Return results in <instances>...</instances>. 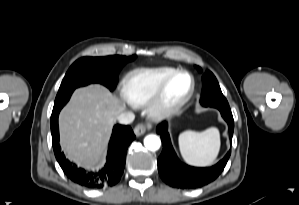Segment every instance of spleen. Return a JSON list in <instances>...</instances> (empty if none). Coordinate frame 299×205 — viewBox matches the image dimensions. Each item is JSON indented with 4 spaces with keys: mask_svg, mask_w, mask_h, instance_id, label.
Wrapping results in <instances>:
<instances>
[{
    "mask_svg": "<svg viewBox=\"0 0 299 205\" xmlns=\"http://www.w3.org/2000/svg\"><path fill=\"white\" fill-rule=\"evenodd\" d=\"M182 158L193 166H209L220 150V133L215 127L202 132L185 131L178 137Z\"/></svg>",
    "mask_w": 299,
    "mask_h": 205,
    "instance_id": "spleen-1",
    "label": "spleen"
}]
</instances>
